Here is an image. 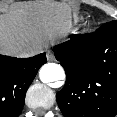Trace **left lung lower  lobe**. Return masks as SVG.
I'll return each instance as SVG.
<instances>
[{
    "label": "left lung lower lobe",
    "mask_w": 117,
    "mask_h": 117,
    "mask_svg": "<svg viewBox=\"0 0 117 117\" xmlns=\"http://www.w3.org/2000/svg\"><path fill=\"white\" fill-rule=\"evenodd\" d=\"M66 72L56 94L64 117H114L117 114V21L93 34L76 35L53 49Z\"/></svg>",
    "instance_id": "obj_1"
}]
</instances>
